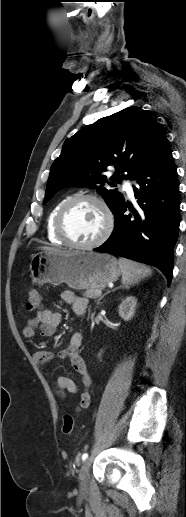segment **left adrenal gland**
<instances>
[{"label":"left adrenal gland","instance_id":"1","mask_svg":"<svg viewBox=\"0 0 186 517\" xmlns=\"http://www.w3.org/2000/svg\"><path fill=\"white\" fill-rule=\"evenodd\" d=\"M116 289H119V288H115L114 290H116ZM108 293H109V292L105 293L104 295H102V296L99 298V300L97 301V305H99L100 300H101V299H102L106 294H108Z\"/></svg>","mask_w":186,"mask_h":517}]
</instances>
